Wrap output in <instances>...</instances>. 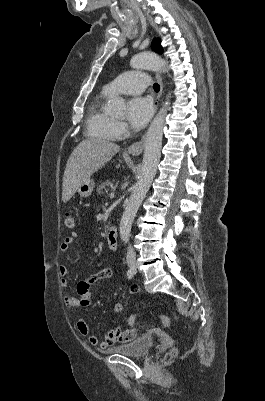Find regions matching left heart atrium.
<instances>
[{"mask_svg":"<svg viewBox=\"0 0 265 401\" xmlns=\"http://www.w3.org/2000/svg\"><path fill=\"white\" fill-rule=\"evenodd\" d=\"M153 112L151 102L143 97H135L128 102L127 118L131 126L139 130L150 119Z\"/></svg>","mask_w":265,"mask_h":401,"instance_id":"39dd6f15","label":"left heart atrium"}]
</instances>
